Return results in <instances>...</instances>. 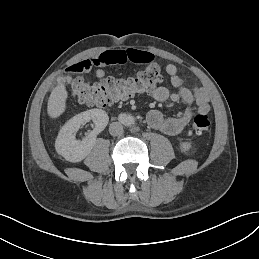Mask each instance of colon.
Instances as JSON below:
<instances>
[{"label": "colon", "instance_id": "obj_1", "mask_svg": "<svg viewBox=\"0 0 259 259\" xmlns=\"http://www.w3.org/2000/svg\"><path fill=\"white\" fill-rule=\"evenodd\" d=\"M161 79L159 65L151 63L132 77H107L95 83L81 77H70L67 80V86L71 95L79 102L89 106L106 107L127 98L151 92ZM210 124L207 115L198 114L195 116L189 132H204L210 127Z\"/></svg>", "mask_w": 259, "mask_h": 259}]
</instances>
